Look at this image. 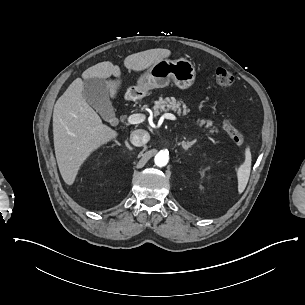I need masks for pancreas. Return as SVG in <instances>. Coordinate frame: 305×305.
<instances>
[{
    "label": "pancreas",
    "instance_id": "1",
    "mask_svg": "<svg viewBox=\"0 0 305 305\" xmlns=\"http://www.w3.org/2000/svg\"><path fill=\"white\" fill-rule=\"evenodd\" d=\"M154 111L156 115H159L160 112H174L178 115L186 116L190 109L187 107L186 103H184L183 99H176L175 97H160L157 101H155ZM192 117H195L192 115ZM196 124L199 127L204 126L203 132H206L209 129V135L216 136L219 133V129L217 126L212 125L213 120H208L204 118H198L196 120ZM213 140L212 138H210Z\"/></svg>",
    "mask_w": 305,
    "mask_h": 305
}]
</instances>
